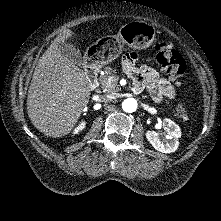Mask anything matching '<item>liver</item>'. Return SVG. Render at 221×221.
Instances as JSON below:
<instances>
[{
  "label": "liver",
  "instance_id": "1",
  "mask_svg": "<svg viewBox=\"0 0 221 221\" xmlns=\"http://www.w3.org/2000/svg\"><path fill=\"white\" fill-rule=\"evenodd\" d=\"M71 34L66 30L54 39L38 61L28 91V116L40 132L50 137L68 135L90 99L84 71L58 49V44Z\"/></svg>",
  "mask_w": 221,
  "mask_h": 221
}]
</instances>
